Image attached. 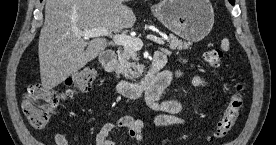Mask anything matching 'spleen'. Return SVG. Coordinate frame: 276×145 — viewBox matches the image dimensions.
<instances>
[{
  "label": "spleen",
  "instance_id": "spleen-1",
  "mask_svg": "<svg viewBox=\"0 0 276 145\" xmlns=\"http://www.w3.org/2000/svg\"><path fill=\"white\" fill-rule=\"evenodd\" d=\"M221 47L223 50L229 49V40L227 38H224L221 42Z\"/></svg>",
  "mask_w": 276,
  "mask_h": 145
}]
</instances>
